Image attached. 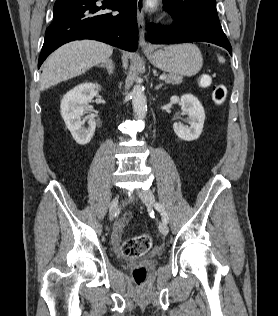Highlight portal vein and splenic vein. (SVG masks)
<instances>
[{
    "mask_svg": "<svg viewBox=\"0 0 278 316\" xmlns=\"http://www.w3.org/2000/svg\"><path fill=\"white\" fill-rule=\"evenodd\" d=\"M166 78H167V76H165V75H161V76L159 77L160 80H165Z\"/></svg>",
    "mask_w": 278,
    "mask_h": 316,
    "instance_id": "1",
    "label": "portal vein and splenic vein"
}]
</instances>
